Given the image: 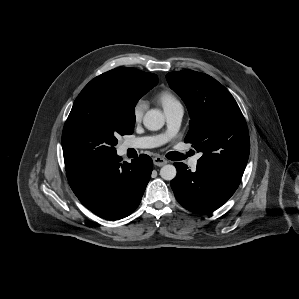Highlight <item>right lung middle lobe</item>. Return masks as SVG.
<instances>
[{
  "instance_id": "dd1d6c3e",
  "label": "right lung middle lobe",
  "mask_w": 299,
  "mask_h": 299,
  "mask_svg": "<svg viewBox=\"0 0 299 299\" xmlns=\"http://www.w3.org/2000/svg\"><path fill=\"white\" fill-rule=\"evenodd\" d=\"M135 105L116 86L90 81L65 122L64 156L107 158L117 154V137L134 132Z\"/></svg>"
}]
</instances>
